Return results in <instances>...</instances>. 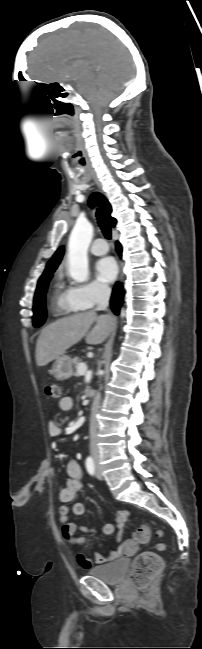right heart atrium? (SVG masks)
<instances>
[{
    "mask_svg": "<svg viewBox=\"0 0 202 649\" xmlns=\"http://www.w3.org/2000/svg\"><path fill=\"white\" fill-rule=\"evenodd\" d=\"M108 295L109 288L106 284L92 281L72 287L69 300L79 309H89L105 300Z\"/></svg>",
    "mask_w": 202,
    "mask_h": 649,
    "instance_id": "obj_1",
    "label": "right heart atrium"
}]
</instances>
